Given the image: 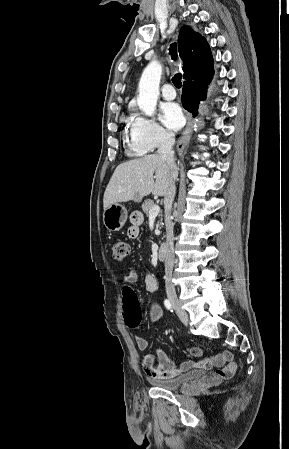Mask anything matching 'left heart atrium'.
I'll return each instance as SVG.
<instances>
[{
    "label": "left heart atrium",
    "mask_w": 289,
    "mask_h": 449,
    "mask_svg": "<svg viewBox=\"0 0 289 449\" xmlns=\"http://www.w3.org/2000/svg\"><path fill=\"white\" fill-rule=\"evenodd\" d=\"M161 121L169 129L178 130L184 125L185 117L177 103L168 102L161 105Z\"/></svg>",
    "instance_id": "39dd6f15"
}]
</instances>
